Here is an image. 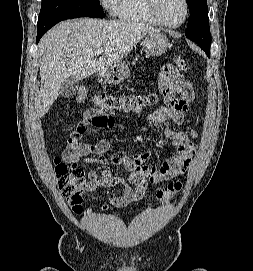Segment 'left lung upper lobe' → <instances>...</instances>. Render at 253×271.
<instances>
[{
  "instance_id": "1",
  "label": "left lung upper lobe",
  "mask_w": 253,
  "mask_h": 271,
  "mask_svg": "<svg viewBox=\"0 0 253 271\" xmlns=\"http://www.w3.org/2000/svg\"><path fill=\"white\" fill-rule=\"evenodd\" d=\"M186 1L190 10L186 37L196 42L203 50L210 48L207 0Z\"/></svg>"
}]
</instances>
